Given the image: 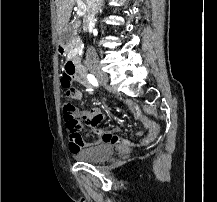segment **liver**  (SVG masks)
Instances as JSON below:
<instances>
[{"mask_svg":"<svg viewBox=\"0 0 217 202\" xmlns=\"http://www.w3.org/2000/svg\"><path fill=\"white\" fill-rule=\"evenodd\" d=\"M77 0H56V14H57V30L59 34H63L65 30H69V20L71 18L72 10ZM86 2V0H84ZM80 22L72 24V28H78Z\"/></svg>","mask_w":217,"mask_h":202,"instance_id":"1","label":"liver"}]
</instances>
